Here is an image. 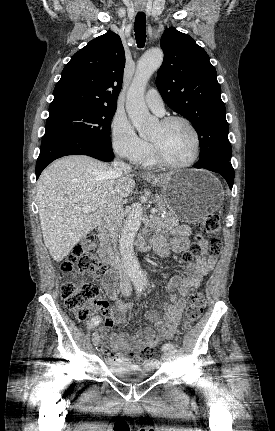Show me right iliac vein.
<instances>
[{"instance_id": "63e3f726", "label": "right iliac vein", "mask_w": 275, "mask_h": 431, "mask_svg": "<svg viewBox=\"0 0 275 431\" xmlns=\"http://www.w3.org/2000/svg\"><path fill=\"white\" fill-rule=\"evenodd\" d=\"M92 341L94 346H98L100 343V337L97 332L93 333Z\"/></svg>"}]
</instances>
